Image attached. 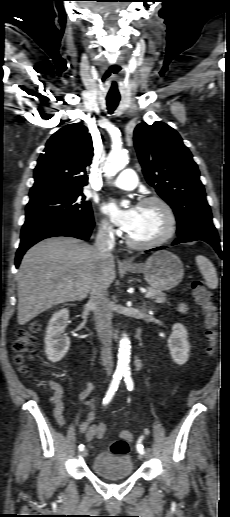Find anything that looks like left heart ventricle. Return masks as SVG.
<instances>
[{"instance_id": "1", "label": "left heart ventricle", "mask_w": 230, "mask_h": 517, "mask_svg": "<svg viewBox=\"0 0 230 517\" xmlns=\"http://www.w3.org/2000/svg\"><path fill=\"white\" fill-rule=\"evenodd\" d=\"M166 228V217L155 203L138 207V217L129 236L136 241L146 242L158 238Z\"/></svg>"}]
</instances>
